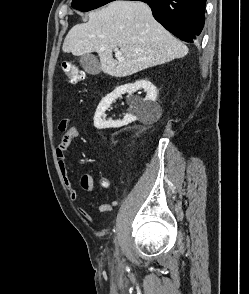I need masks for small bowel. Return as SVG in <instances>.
<instances>
[{"label": "small bowel", "mask_w": 249, "mask_h": 294, "mask_svg": "<svg viewBox=\"0 0 249 294\" xmlns=\"http://www.w3.org/2000/svg\"><path fill=\"white\" fill-rule=\"evenodd\" d=\"M58 129L63 133L61 140L56 147V157L58 160L59 170L62 174L64 184L68 189L70 199L76 200L78 196L77 190L73 187V184L67 174L66 152L74 139L79 136V129L76 125L71 124L68 120H61L58 124ZM80 184L81 188L86 193H92L94 191V181L90 175H84ZM116 204V202L98 203L96 208L101 213H110L113 211ZM78 212L88 222L93 221L91 214L88 213L85 209L79 207Z\"/></svg>", "instance_id": "small-bowel-1"}]
</instances>
